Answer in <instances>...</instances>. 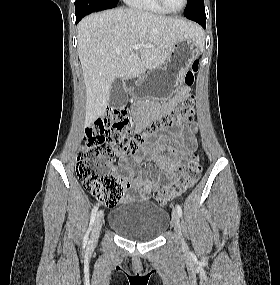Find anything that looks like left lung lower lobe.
I'll use <instances>...</instances> for the list:
<instances>
[{
    "instance_id": "left-lung-lower-lobe-1",
    "label": "left lung lower lobe",
    "mask_w": 280,
    "mask_h": 285,
    "mask_svg": "<svg viewBox=\"0 0 280 285\" xmlns=\"http://www.w3.org/2000/svg\"><path fill=\"white\" fill-rule=\"evenodd\" d=\"M191 20L198 22L203 28H206V15L192 16Z\"/></svg>"
}]
</instances>
